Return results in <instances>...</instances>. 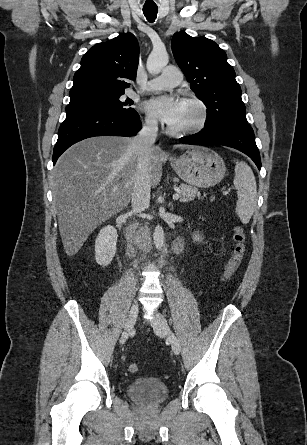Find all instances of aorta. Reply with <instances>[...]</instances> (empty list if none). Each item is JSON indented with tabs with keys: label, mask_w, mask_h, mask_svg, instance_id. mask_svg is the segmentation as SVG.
I'll return each instance as SVG.
<instances>
[{
	"label": "aorta",
	"mask_w": 307,
	"mask_h": 445,
	"mask_svg": "<svg viewBox=\"0 0 307 445\" xmlns=\"http://www.w3.org/2000/svg\"><path fill=\"white\" fill-rule=\"evenodd\" d=\"M168 62L169 54L165 46H157V48H153V50H151L147 58L146 68L150 74H159V72H161L162 68H164ZM153 241L156 249L161 251L164 245V231L160 225H157V227L154 229Z\"/></svg>",
	"instance_id": "aorta-1"
}]
</instances>
